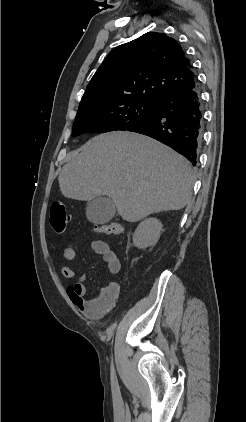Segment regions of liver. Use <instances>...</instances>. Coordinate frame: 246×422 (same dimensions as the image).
<instances>
[{
    "mask_svg": "<svg viewBox=\"0 0 246 422\" xmlns=\"http://www.w3.org/2000/svg\"><path fill=\"white\" fill-rule=\"evenodd\" d=\"M66 198L109 196L128 222L191 200L194 171L187 159L145 135L115 131L98 135L76 151L59 175Z\"/></svg>",
    "mask_w": 246,
    "mask_h": 422,
    "instance_id": "6515ba94",
    "label": "liver"
}]
</instances>
